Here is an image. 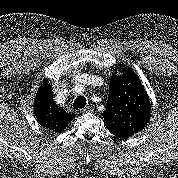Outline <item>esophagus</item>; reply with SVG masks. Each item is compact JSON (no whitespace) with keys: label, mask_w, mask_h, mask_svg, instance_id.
<instances>
[{"label":"esophagus","mask_w":178,"mask_h":178,"mask_svg":"<svg viewBox=\"0 0 178 178\" xmlns=\"http://www.w3.org/2000/svg\"><path fill=\"white\" fill-rule=\"evenodd\" d=\"M90 111H92V107H91V106H88V107H86V108L79 109V110H78V113H79V114H83V113L90 112Z\"/></svg>","instance_id":"obj_1"}]
</instances>
